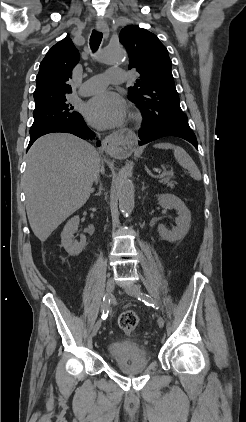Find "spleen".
Instances as JSON below:
<instances>
[{"instance_id":"obj_1","label":"spleen","mask_w":246,"mask_h":422,"mask_svg":"<svg viewBox=\"0 0 246 422\" xmlns=\"http://www.w3.org/2000/svg\"><path fill=\"white\" fill-rule=\"evenodd\" d=\"M154 147L159 149H172L174 151L175 159L182 167L189 171L190 176L194 180H201V173L198 167L196 166L193 159L182 147L173 145L171 143H158L154 145Z\"/></svg>"}]
</instances>
